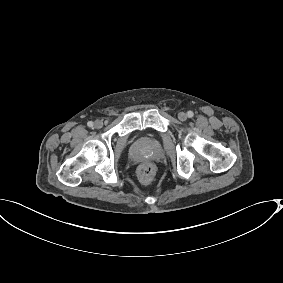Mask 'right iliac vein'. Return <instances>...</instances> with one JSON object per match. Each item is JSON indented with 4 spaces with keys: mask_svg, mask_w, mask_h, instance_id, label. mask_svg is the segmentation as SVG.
<instances>
[{
    "mask_svg": "<svg viewBox=\"0 0 283 283\" xmlns=\"http://www.w3.org/2000/svg\"><path fill=\"white\" fill-rule=\"evenodd\" d=\"M102 127H103V122H102V121L96 120V121L94 122V128L100 129V128H102Z\"/></svg>",
    "mask_w": 283,
    "mask_h": 283,
    "instance_id": "obj_1",
    "label": "right iliac vein"
}]
</instances>
